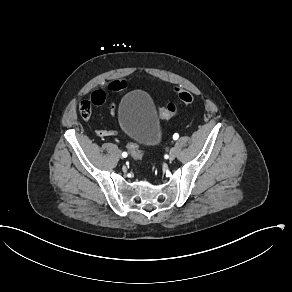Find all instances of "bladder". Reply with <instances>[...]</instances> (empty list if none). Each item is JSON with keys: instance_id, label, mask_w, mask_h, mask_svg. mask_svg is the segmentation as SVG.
<instances>
[{"instance_id": "obj_1", "label": "bladder", "mask_w": 292, "mask_h": 292, "mask_svg": "<svg viewBox=\"0 0 292 292\" xmlns=\"http://www.w3.org/2000/svg\"><path fill=\"white\" fill-rule=\"evenodd\" d=\"M122 131L136 144L156 145L161 127L151 97L143 90L129 92L121 101L117 114Z\"/></svg>"}]
</instances>
